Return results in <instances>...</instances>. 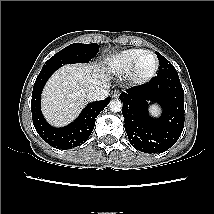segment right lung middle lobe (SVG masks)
Instances as JSON below:
<instances>
[{"label": "right lung middle lobe", "instance_id": "obj_1", "mask_svg": "<svg viewBox=\"0 0 214 214\" xmlns=\"http://www.w3.org/2000/svg\"><path fill=\"white\" fill-rule=\"evenodd\" d=\"M98 51L99 46L96 43H74L65 47L49 60H47L43 68L61 67L64 64L88 63L92 58L96 56Z\"/></svg>", "mask_w": 214, "mask_h": 214}]
</instances>
